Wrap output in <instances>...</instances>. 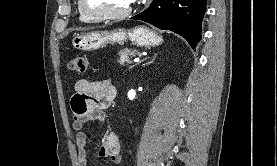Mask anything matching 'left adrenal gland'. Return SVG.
<instances>
[{"mask_svg":"<svg viewBox=\"0 0 277 166\" xmlns=\"http://www.w3.org/2000/svg\"><path fill=\"white\" fill-rule=\"evenodd\" d=\"M157 54H154L153 59L156 57Z\"/></svg>","mask_w":277,"mask_h":166,"instance_id":"obj_1","label":"left adrenal gland"}]
</instances>
